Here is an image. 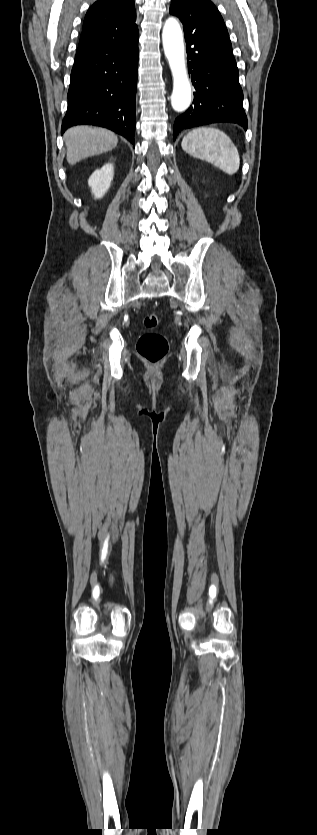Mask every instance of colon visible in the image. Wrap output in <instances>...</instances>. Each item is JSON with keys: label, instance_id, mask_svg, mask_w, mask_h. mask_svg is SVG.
Returning a JSON list of instances; mask_svg holds the SVG:
<instances>
[{"label": "colon", "instance_id": "colon-1", "mask_svg": "<svg viewBox=\"0 0 317 835\" xmlns=\"http://www.w3.org/2000/svg\"><path fill=\"white\" fill-rule=\"evenodd\" d=\"M144 324L148 328H155L159 324L158 315L155 313L148 314L144 319ZM137 352L145 361L158 364L167 355L168 342L161 334L146 333L138 340Z\"/></svg>", "mask_w": 317, "mask_h": 835}]
</instances>
